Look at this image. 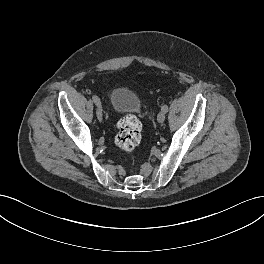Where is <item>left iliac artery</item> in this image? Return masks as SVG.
<instances>
[{
  "label": "left iliac artery",
  "mask_w": 264,
  "mask_h": 264,
  "mask_svg": "<svg viewBox=\"0 0 264 264\" xmlns=\"http://www.w3.org/2000/svg\"><path fill=\"white\" fill-rule=\"evenodd\" d=\"M161 110L164 111L165 113H167L168 112V106L167 105H163Z\"/></svg>",
  "instance_id": "44dca946"
}]
</instances>
